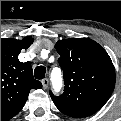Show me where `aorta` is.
Instances as JSON below:
<instances>
[{
    "mask_svg": "<svg viewBox=\"0 0 121 121\" xmlns=\"http://www.w3.org/2000/svg\"><path fill=\"white\" fill-rule=\"evenodd\" d=\"M53 88L58 91L62 85L61 77L60 75L57 77H54L52 80Z\"/></svg>",
    "mask_w": 121,
    "mask_h": 121,
    "instance_id": "obj_1",
    "label": "aorta"
}]
</instances>
